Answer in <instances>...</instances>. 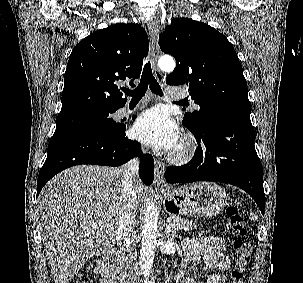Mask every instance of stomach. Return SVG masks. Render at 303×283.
Wrapping results in <instances>:
<instances>
[{
  "mask_svg": "<svg viewBox=\"0 0 303 283\" xmlns=\"http://www.w3.org/2000/svg\"><path fill=\"white\" fill-rule=\"evenodd\" d=\"M227 203L225 190L213 183H196L165 192V209L178 214L212 217L222 212Z\"/></svg>",
  "mask_w": 303,
  "mask_h": 283,
  "instance_id": "stomach-1",
  "label": "stomach"
}]
</instances>
